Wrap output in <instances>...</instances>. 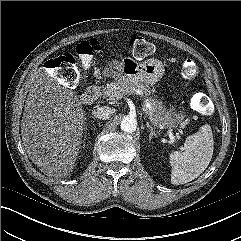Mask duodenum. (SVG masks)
Returning <instances> with one entry per match:
<instances>
[{"mask_svg":"<svg viewBox=\"0 0 241 241\" xmlns=\"http://www.w3.org/2000/svg\"><path fill=\"white\" fill-rule=\"evenodd\" d=\"M98 97V89L96 87H88L82 95V101L86 105L92 104Z\"/></svg>","mask_w":241,"mask_h":241,"instance_id":"410a0bca","label":"duodenum"}]
</instances>
